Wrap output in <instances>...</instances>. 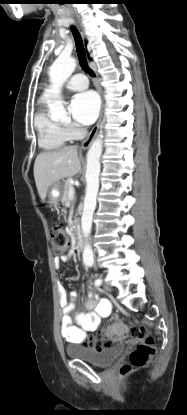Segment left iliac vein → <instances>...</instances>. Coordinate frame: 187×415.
<instances>
[{"mask_svg": "<svg viewBox=\"0 0 187 415\" xmlns=\"http://www.w3.org/2000/svg\"><path fill=\"white\" fill-rule=\"evenodd\" d=\"M104 288H105V290H107V291H112V288H111V286L109 285V284H105L104 285Z\"/></svg>", "mask_w": 187, "mask_h": 415, "instance_id": "obj_1", "label": "left iliac vein"}]
</instances>
